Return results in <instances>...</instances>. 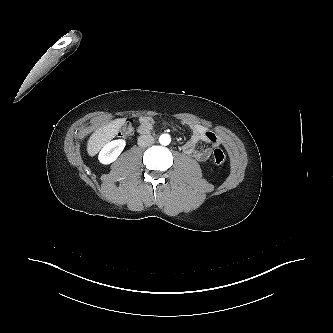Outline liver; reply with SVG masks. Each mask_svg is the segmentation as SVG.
Masks as SVG:
<instances>
[{
    "mask_svg": "<svg viewBox=\"0 0 333 333\" xmlns=\"http://www.w3.org/2000/svg\"><path fill=\"white\" fill-rule=\"evenodd\" d=\"M125 119L120 118L98 128L89 138L87 142V152L90 156L96 155L99 150L113 139L118 133Z\"/></svg>",
    "mask_w": 333,
    "mask_h": 333,
    "instance_id": "6515ba94",
    "label": "liver"
}]
</instances>
